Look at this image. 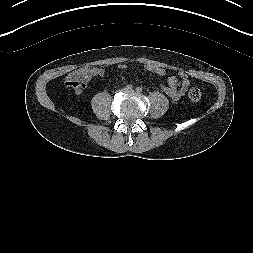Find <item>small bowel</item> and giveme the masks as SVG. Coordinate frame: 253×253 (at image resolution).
Returning a JSON list of instances; mask_svg holds the SVG:
<instances>
[{
	"instance_id": "c3829d8e",
	"label": "small bowel",
	"mask_w": 253,
	"mask_h": 253,
	"mask_svg": "<svg viewBox=\"0 0 253 253\" xmlns=\"http://www.w3.org/2000/svg\"><path fill=\"white\" fill-rule=\"evenodd\" d=\"M121 68H125V64L120 65ZM95 75L103 76L104 71L100 68L94 69ZM166 71L162 70L161 73L164 74ZM190 86V78L184 72H179L177 76H171L168 80V87H165L164 90L166 94L173 100L178 101L181 96H183L188 87ZM77 94H81V91H76Z\"/></svg>"
}]
</instances>
